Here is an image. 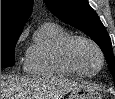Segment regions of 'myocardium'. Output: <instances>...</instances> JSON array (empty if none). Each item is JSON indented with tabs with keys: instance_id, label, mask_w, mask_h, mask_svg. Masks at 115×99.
<instances>
[{
	"instance_id": "f54148a6",
	"label": "myocardium",
	"mask_w": 115,
	"mask_h": 99,
	"mask_svg": "<svg viewBox=\"0 0 115 99\" xmlns=\"http://www.w3.org/2000/svg\"><path fill=\"white\" fill-rule=\"evenodd\" d=\"M77 41H84L89 43L90 45H92L95 50L97 51L99 57H100V66L99 68L90 73V72H86L84 71L82 68H80L78 66V64L76 63V61L74 60L73 57V53H72V48L75 42ZM62 56L63 59L65 60V62L67 63V65L78 75L81 76H85V77H93L95 75H97L104 67V63H105V57L103 54L102 49L100 48V46L91 38L84 36V35H71L64 43L63 47H62Z\"/></svg>"
}]
</instances>
